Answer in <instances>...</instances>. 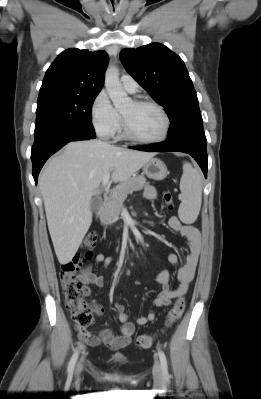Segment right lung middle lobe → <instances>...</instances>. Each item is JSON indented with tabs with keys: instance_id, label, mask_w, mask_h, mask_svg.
<instances>
[{
	"instance_id": "right-lung-middle-lobe-1",
	"label": "right lung middle lobe",
	"mask_w": 261,
	"mask_h": 399,
	"mask_svg": "<svg viewBox=\"0 0 261 399\" xmlns=\"http://www.w3.org/2000/svg\"><path fill=\"white\" fill-rule=\"evenodd\" d=\"M95 95L51 94L38 97L35 129L48 124L65 122L88 131H94L91 123V107Z\"/></svg>"
}]
</instances>
